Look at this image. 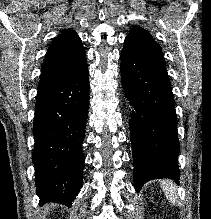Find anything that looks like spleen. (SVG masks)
I'll return each mask as SVG.
<instances>
[{"mask_svg": "<svg viewBox=\"0 0 211 219\" xmlns=\"http://www.w3.org/2000/svg\"><path fill=\"white\" fill-rule=\"evenodd\" d=\"M161 188L169 202L174 204L177 199L175 185L171 181H162Z\"/></svg>", "mask_w": 211, "mask_h": 219, "instance_id": "1", "label": "spleen"}]
</instances>
